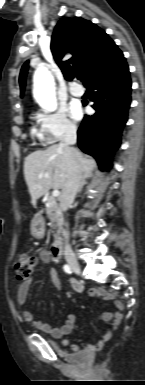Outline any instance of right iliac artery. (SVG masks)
Wrapping results in <instances>:
<instances>
[{
  "label": "right iliac artery",
  "mask_w": 145,
  "mask_h": 385,
  "mask_svg": "<svg viewBox=\"0 0 145 385\" xmlns=\"http://www.w3.org/2000/svg\"><path fill=\"white\" fill-rule=\"evenodd\" d=\"M63 269H64V271H65L66 273H68V274H71V273H72L71 268L69 267V265H64Z\"/></svg>",
  "instance_id": "right-iliac-artery-1"
}]
</instances>
